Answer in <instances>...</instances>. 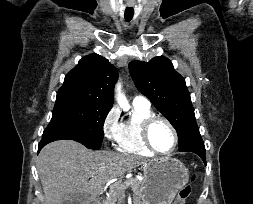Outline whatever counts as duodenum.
<instances>
[{"instance_id": "duodenum-1", "label": "duodenum", "mask_w": 253, "mask_h": 204, "mask_svg": "<svg viewBox=\"0 0 253 204\" xmlns=\"http://www.w3.org/2000/svg\"><path fill=\"white\" fill-rule=\"evenodd\" d=\"M87 204H98L96 197H92Z\"/></svg>"}]
</instances>
